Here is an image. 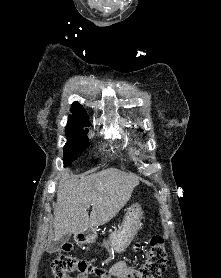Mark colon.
<instances>
[{
  "label": "colon",
  "mask_w": 221,
  "mask_h": 278,
  "mask_svg": "<svg viewBox=\"0 0 221 278\" xmlns=\"http://www.w3.org/2000/svg\"><path fill=\"white\" fill-rule=\"evenodd\" d=\"M70 246L66 245L64 251L68 252ZM167 252L164 240L160 236L150 239L149 248L144 262L133 269L127 278H160L166 269ZM52 271L56 278H69L77 275L79 278L95 276L99 278L103 270L87 260L69 254H58L52 262Z\"/></svg>",
  "instance_id": "1"
}]
</instances>
